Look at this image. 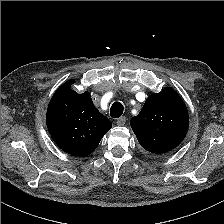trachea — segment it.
I'll use <instances>...</instances> for the list:
<instances>
[{"mask_svg": "<svg viewBox=\"0 0 224 224\" xmlns=\"http://www.w3.org/2000/svg\"><path fill=\"white\" fill-rule=\"evenodd\" d=\"M124 107L120 102H114L110 108V115L113 118H119L123 114Z\"/></svg>", "mask_w": 224, "mask_h": 224, "instance_id": "obj_1", "label": "trachea"}]
</instances>
